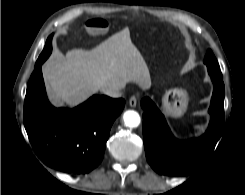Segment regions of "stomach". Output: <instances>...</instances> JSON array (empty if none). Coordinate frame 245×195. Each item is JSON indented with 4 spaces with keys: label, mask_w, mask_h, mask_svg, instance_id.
<instances>
[{
    "label": "stomach",
    "mask_w": 245,
    "mask_h": 195,
    "mask_svg": "<svg viewBox=\"0 0 245 195\" xmlns=\"http://www.w3.org/2000/svg\"><path fill=\"white\" fill-rule=\"evenodd\" d=\"M188 101V94L184 89L173 88L162 96V109L168 116L178 118L186 112Z\"/></svg>",
    "instance_id": "1"
}]
</instances>
